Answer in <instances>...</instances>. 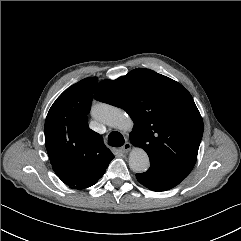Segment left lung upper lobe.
Listing matches in <instances>:
<instances>
[{
    "mask_svg": "<svg viewBox=\"0 0 241 241\" xmlns=\"http://www.w3.org/2000/svg\"><path fill=\"white\" fill-rule=\"evenodd\" d=\"M94 98L129 113L134 121L130 141L147 152L151 166L188 176L197 160L203 120L181 84L140 68L102 81Z\"/></svg>",
    "mask_w": 241,
    "mask_h": 241,
    "instance_id": "left-lung-upper-lobe-1",
    "label": "left lung upper lobe"
}]
</instances>
